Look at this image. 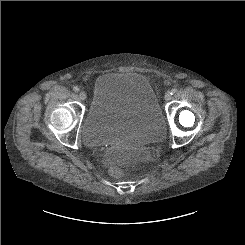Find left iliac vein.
I'll list each match as a JSON object with an SVG mask.
<instances>
[{
  "mask_svg": "<svg viewBox=\"0 0 245 245\" xmlns=\"http://www.w3.org/2000/svg\"><path fill=\"white\" fill-rule=\"evenodd\" d=\"M164 99H165L166 101H169V100L171 99V94H170L169 92L166 93L165 96H164Z\"/></svg>",
  "mask_w": 245,
  "mask_h": 245,
  "instance_id": "left-iliac-vein-1",
  "label": "left iliac vein"
}]
</instances>
